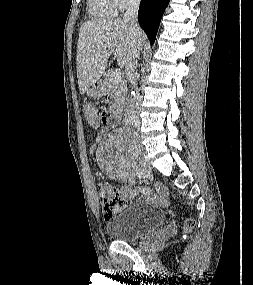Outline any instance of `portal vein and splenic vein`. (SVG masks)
<instances>
[{
	"mask_svg": "<svg viewBox=\"0 0 253 285\" xmlns=\"http://www.w3.org/2000/svg\"><path fill=\"white\" fill-rule=\"evenodd\" d=\"M108 48L113 49L114 44L113 43H108ZM110 81L114 84H117L121 81V71L120 69H114L111 76H110Z\"/></svg>",
	"mask_w": 253,
	"mask_h": 285,
	"instance_id": "portal-vein-and-splenic-vein-1",
	"label": "portal vein and splenic vein"
}]
</instances>
